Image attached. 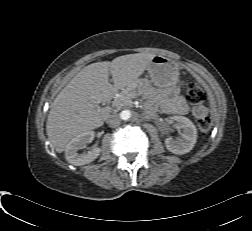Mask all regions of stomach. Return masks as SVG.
<instances>
[{"label":"stomach","instance_id":"stomach-1","mask_svg":"<svg viewBox=\"0 0 252 231\" xmlns=\"http://www.w3.org/2000/svg\"><path fill=\"white\" fill-rule=\"evenodd\" d=\"M150 81L162 89H175L178 86V69L168 58L154 56L148 69Z\"/></svg>","mask_w":252,"mask_h":231}]
</instances>
